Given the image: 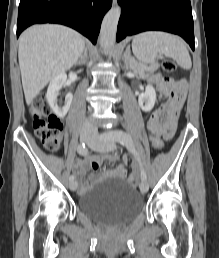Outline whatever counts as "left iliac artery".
<instances>
[{
  "label": "left iliac artery",
  "mask_w": 219,
  "mask_h": 258,
  "mask_svg": "<svg viewBox=\"0 0 219 258\" xmlns=\"http://www.w3.org/2000/svg\"><path fill=\"white\" fill-rule=\"evenodd\" d=\"M110 140L112 141H117L119 143H121L122 145H124L131 153L134 154L135 158L137 159V161L139 162L140 164V169H141V179L146 181L147 179V176H146V173L143 169V166L140 162V158L135 150V147H134V143H133V140L131 138V136L122 131V130H117V131H113L111 134H110V137H109Z\"/></svg>",
  "instance_id": "1"
}]
</instances>
